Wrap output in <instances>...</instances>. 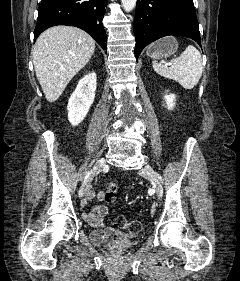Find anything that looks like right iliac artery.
I'll return each instance as SVG.
<instances>
[{"mask_svg":"<svg viewBox=\"0 0 240 281\" xmlns=\"http://www.w3.org/2000/svg\"><path fill=\"white\" fill-rule=\"evenodd\" d=\"M92 171L91 172H88L85 176V181L88 179V177L91 175Z\"/></svg>","mask_w":240,"mask_h":281,"instance_id":"right-iliac-artery-1","label":"right iliac artery"}]
</instances>
